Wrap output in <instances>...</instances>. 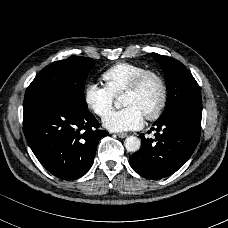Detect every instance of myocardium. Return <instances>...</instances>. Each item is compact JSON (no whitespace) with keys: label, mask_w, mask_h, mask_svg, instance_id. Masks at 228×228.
I'll return each instance as SVG.
<instances>
[{"label":"myocardium","mask_w":228,"mask_h":228,"mask_svg":"<svg viewBox=\"0 0 228 228\" xmlns=\"http://www.w3.org/2000/svg\"><path fill=\"white\" fill-rule=\"evenodd\" d=\"M150 77L157 79V81L159 82L162 90V97L160 104L158 105L156 110L149 114H145L144 117L147 120H156L163 114L168 102V87L164 77L160 73L155 70L149 69L143 71L142 73L137 75L131 82V84L124 90V94L137 92L142 87L144 82Z\"/></svg>","instance_id":"myocardium-1"}]
</instances>
